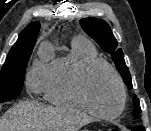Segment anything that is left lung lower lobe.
Wrapping results in <instances>:
<instances>
[{"instance_id": "obj_1", "label": "left lung lower lobe", "mask_w": 151, "mask_h": 131, "mask_svg": "<svg viewBox=\"0 0 151 131\" xmlns=\"http://www.w3.org/2000/svg\"><path fill=\"white\" fill-rule=\"evenodd\" d=\"M132 131H145V129L143 127L137 128V127H130L129 128Z\"/></svg>"}]
</instances>
